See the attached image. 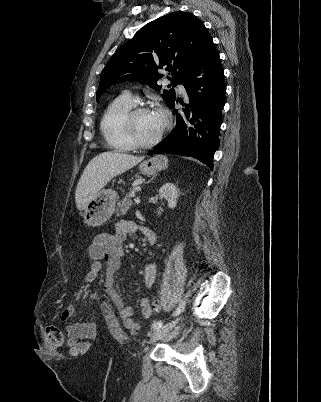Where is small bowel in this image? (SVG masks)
<instances>
[{
    "instance_id": "small-bowel-1",
    "label": "small bowel",
    "mask_w": 321,
    "mask_h": 402,
    "mask_svg": "<svg viewBox=\"0 0 321 402\" xmlns=\"http://www.w3.org/2000/svg\"><path fill=\"white\" fill-rule=\"evenodd\" d=\"M141 233L148 244L156 242V233L143 225H139L132 220H121L117 222L112 233L98 234L88 248V257L91 262L83 275L86 283L93 282L103 268L105 263V293L113 305L118 309L119 316L126 328L136 330L137 320L133 317V309L126 306L123 299L114 286V274L119 269L124 255L123 243L126 238L134 233ZM157 276V265L152 262L145 266L143 271L144 282L147 287H152ZM142 313L145 317L151 315V309L147 299L140 302ZM73 305H67L61 311V319L67 322L74 314ZM99 327L98 321H87L86 324L79 322H69L66 325L67 346L73 358H83L85 350H90L91 343L88 341L89 335H95L96 328Z\"/></svg>"
}]
</instances>
